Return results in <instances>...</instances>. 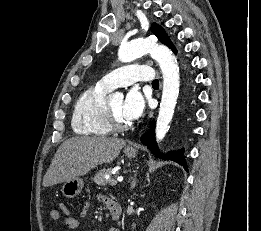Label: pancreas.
<instances>
[{"label":"pancreas","mask_w":261,"mask_h":231,"mask_svg":"<svg viewBox=\"0 0 261 231\" xmlns=\"http://www.w3.org/2000/svg\"><path fill=\"white\" fill-rule=\"evenodd\" d=\"M111 172L112 168L101 169L95 174V176L93 177V181L98 185L105 186L106 184H109V181L111 180H106L105 176L111 174Z\"/></svg>","instance_id":"obj_1"}]
</instances>
